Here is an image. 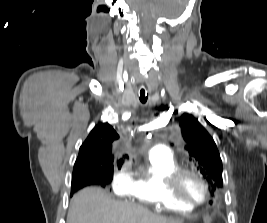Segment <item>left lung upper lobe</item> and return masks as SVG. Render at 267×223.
<instances>
[{
  "instance_id": "5c2ea615",
  "label": "left lung upper lobe",
  "mask_w": 267,
  "mask_h": 223,
  "mask_svg": "<svg viewBox=\"0 0 267 223\" xmlns=\"http://www.w3.org/2000/svg\"><path fill=\"white\" fill-rule=\"evenodd\" d=\"M185 146L197 170L208 182L211 191H217L223 184L222 161L216 144L206 129L190 114L179 119Z\"/></svg>"
}]
</instances>
